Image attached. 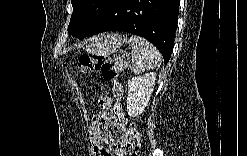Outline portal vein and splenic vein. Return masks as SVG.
<instances>
[{"instance_id": "portal-vein-and-splenic-vein-1", "label": "portal vein and splenic vein", "mask_w": 247, "mask_h": 156, "mask_svg": "<svg viewBox=\"0 0 247 156\" xmlns=\"http://www.w3.org/2000/svg\"><path fill=\"white\" fill-rule=\"evenodd\" d=\"M125 67H128V62H125Z\"/></svg>"}]
</instances>
